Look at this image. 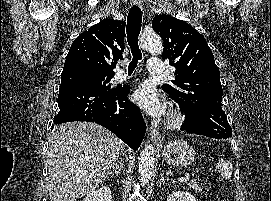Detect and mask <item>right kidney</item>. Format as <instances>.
Returning <instances> with one entry per match:
<instances>
[{"label":"right kidney","instance_id":"right-kidney-1","mask_svg":"<svg viewBox=\"0 0 271 201\" xmlns=\"http://www.w3.org/2000/svg\"><path fill=\"white\" fill-rule=\"evenodd\" d=\"M83 201H112L111 190L108 186H103L88 194Z\"/></svg>","mask_w":271,"mask_h":201}]
</instances>
